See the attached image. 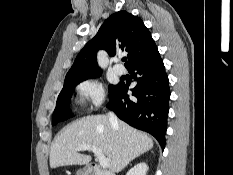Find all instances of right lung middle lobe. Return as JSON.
I'll list each match as a JSON object with an SVG mask.
<instances>
[{"label": "right lung middle lobe", "mask_w": 233, "mask_h": 175, "mask_svg": "<svg viewBox=\"0 0 233 175\" xmlns=\"http://www.w3.org/2000/svg\"><path fill=\"white\" fill-rule=\"evenodd\" d=\"M94 76L95 75L90 76V77L80 78V79L64 81L63 89L58 96L56 108L53 113L52 125H56L58 122L67 120L68 118L72 117L69 111V104H70L71 95L73 93L75 86L78 85L80 82L88 78H92ZM99 76L100 74L96 75V77H99ZM117 88H118V85L109 86L110 97L117 90Z\"/></svg>", "instance_id": "right-lung-middle-lobe-1"}]
</instances>
